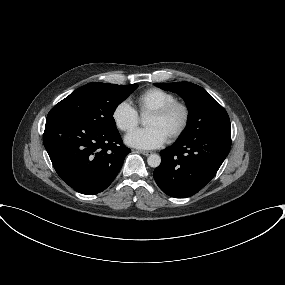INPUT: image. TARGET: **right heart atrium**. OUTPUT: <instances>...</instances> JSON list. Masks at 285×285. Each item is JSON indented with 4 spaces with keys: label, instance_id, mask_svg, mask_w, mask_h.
<instances>
[{
    "label": "right heart atrium",
    "instance_id": "1",
    "mask_svg": "<svg viewBox=\"0 0 285 285\" xmlns=\"http://www.w3.org/2000/svg\"><path fill=\"white\" fill-rule=\"evenodd\" d=\"M116 127L123 132L132 131L139 123L137 110L127 101L119 102L112 111Z\"/></svg>",
    "mask_w": 285,
    "mask_h": 285
}]
</instances>
